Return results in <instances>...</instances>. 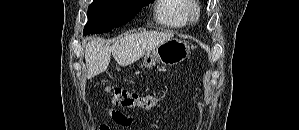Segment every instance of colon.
Here are the masks:
<instances>
[{
    "instance_id": "1",
    "label": "colon",
    "mask_w": 299,
    "mask_h": 130,
    "mask_svg": "<svg viewBox=\"0 0 299 130\" xmlns=\"http://www.w3.org/2000/svg\"><path fill=\"white\" fill-rule=\"evenodd\" d=\"M105 93L114 105L122 108L140 107L150 110L158 107L164 99V96H140L122 88L107 87Z\"/></svg>"
}]
</instances>
